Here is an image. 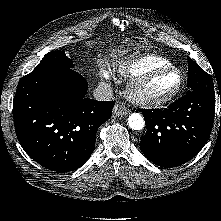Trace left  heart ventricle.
Listing matches in <instances>:
<instances>
[{
  "label": "left heart ventricle",
  "mask_w": 221,
  "mask_h": 221,
  "mask_svg": "<svg viewBox=\"0 0 221 221\" xmlns=\"http://www.w3.org/2000/svg\"><path fill=\"white\" fill-rule=\"evenodd\" d=\"M179 76L175 72L161 74L150 81L144 88L148 95H162L173 90L178 84Z\"/></svg>",
  "instance_id": "b2bd125f"
}]
</instances>
